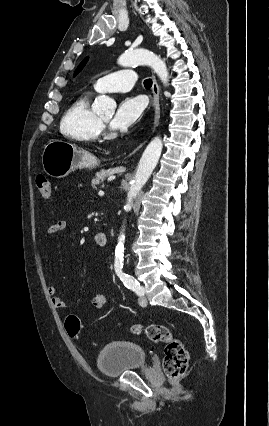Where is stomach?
<instances>
[{"label": "stomach", "mask_w": 269, "mask_h": 426, "mask_svg": "<svg viewBox=\"0 0 269 426\" xmlns=\"http://www.w3.org/2000/svg\"><path fill=\"white\" fill-rule=\"evenodd\" d=\"M99 160L75 144L62 140L47 143L42 153L44 172L53 178H64L76 169L94 168Z\"/></svg>", "instance_id": "0dacf381"}]
</instances>
